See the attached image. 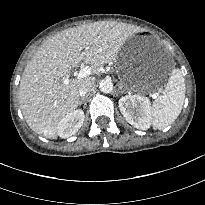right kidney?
I'll return each instance as SVG.
<instances>
[{
	"mask_svg": "<svg viewBox=\"0 0 205 205\" xmlns=\"http://www.w3.org/2000/svg\"><path fill=\"white\" fill-rule=\"evenodd\" d=\"M84 112L81 109L74 110L63 117L58 125V135L62 138L73 136L84 122Z\"/></svg>",
	"mask_w": 205,
	"mask_h": 205,
	"instance_id": "ca27d5eb",
	"label": "right kidney"
}]
</instances>
